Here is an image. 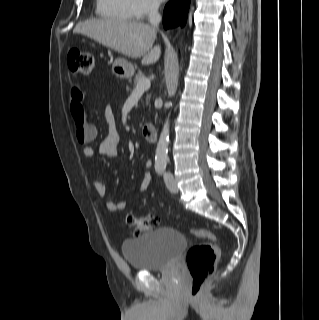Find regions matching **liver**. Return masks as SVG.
I'll list each match as a JSON object with an SVG mask.
<instances>
[{"label":"liver","mask_w":319,"mask_h":320,"mask_svg":"<svg viewBox=\"0 0 319 320\" xmlns=\"http://www.w3.org/2000/svg\"><path fill=\"white\" fill-rule=\"evenodd\" d=\"M73 33L85 35L127 57H143L142 64L157 62L161 54L159 45L152 47L156 39L155 27L137 21L89 19L77 24Z\"/></svg>","instance_id":"liver-1"}]
</instances>
